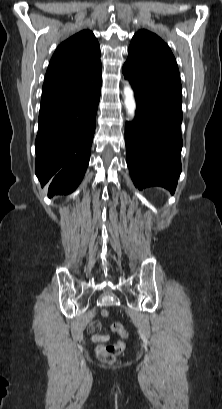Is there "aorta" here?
<instances>
[{
  "instance_id": "1",
  "label": "aorta",
  "mask_w": 222,
  "mask_h": 409,
  "mask_svg": "<svg viewBox=\"0 0 222 409\" xmlns=\"http://www.w3.org/2000/svg\"><path fill=\"white\" fill-rule=\"evenodd\" d=\"M124 96H125L124 103H125L126 111L130 118H134L135 110H136V103L134 100L133 91L128 85L124 87Z\"/></svg>"
}]
</instances>
